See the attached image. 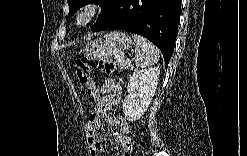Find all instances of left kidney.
<instances>
[{
    "label": "left kidney",
    "instance_id": "obj_1",
    "mask_svg": "<svg viewBox=\"0 0 247 156\" xmlns=\"http://www.w3.org/2000/svg\"><path fill=\"white\" fill-rule=\"evenodd\" d=\"M159 74V67H151L135 71L130 77L128 95L123 102V112L127 120L136 121L146 112L155 94Z\"/></svg>",
    "mask_w": 247,
    "mask_h": 156
}]
</instances>
